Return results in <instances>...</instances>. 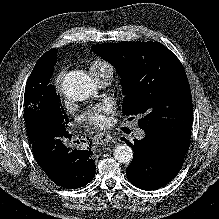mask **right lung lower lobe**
<instances>
[{
	"instance_id": "98d812e1",
	"label": "right lung lower lobe",
	"mask_w": 219,
	"mask_h": 219,
	"mask_svg": "<svg viewBox=\"0 0 219 219\" xmlns=\"http://www.w3.org/2000/svg\"><path fill=\"white\" fill-rule=\"evenodd\" d=\"M26 128L35 160L55 184L76 189L91 182L95 176L91 145L82 150L68 147L71 134L52 119L40 118Z\"/></svg>"
}]
</instances>
